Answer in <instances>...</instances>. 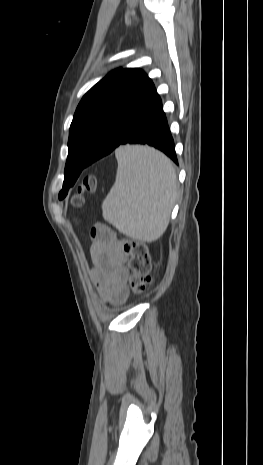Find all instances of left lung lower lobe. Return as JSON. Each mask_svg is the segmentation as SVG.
Listing matches in <instances>:
<instances>
[{
  "label": "left lung lower lobe",
  "mask_w": 263,
  "mask_h": 465,
  "mask_svg": "<svg viewBox=\"0 0 263 465\" xmlns=\"http://www.w3.org/2000/svg\"><path fill=\"white\" fill-rule=\"evenodd\" d=\"M127 143L153 146L178 164L161 99L149 78L136 97L115 115L87 160L86 167ZM77 164L75 162L74 165ZM71 167V160H67L65 175Z\"/></svg>",
  "instance_id": "obj_1"
}]
</instances>
